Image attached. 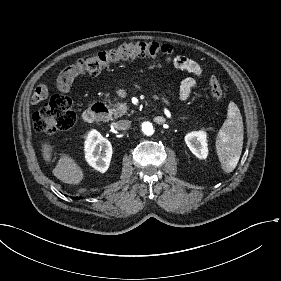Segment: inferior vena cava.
I'll return each instance as SVG.
<instances>
[{"label":"inferior vena cava","mask_w":281,"mask_h":281,"mask_svg":"<svg viewBox=\"0 0 281 281\" xmlns=\"http://www.w3.org/2000/svg\"><path fill=\"white\" fill-rule=\"evenodd\" d=\"M131 126V121L129 120H121L116 123V128L118 130H128Z\"/></svg>","instance_id":"obj_1"}]
</instances>
